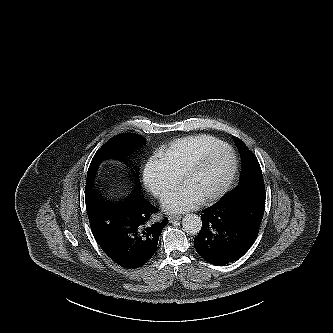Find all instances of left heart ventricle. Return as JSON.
Masks as SVG:
<instances>
[{"label":"left heart ventricle","mask_w":333,"mask_h":333,"mask_svg":"<svg viewBox=\"0 0 333 333\" xmlns=\"http://www.w3.org/2000/svg\"><path fill=\"white\" fill-rule=\"evenodd\" d=\"M231 167V157L227 150L214 155L198 172L184 181L202 198L215 191L225 180Z\"/></svg>","instance_id":"1"}]
</instances>
